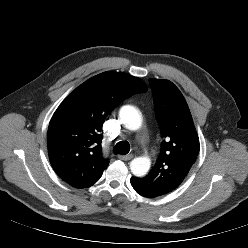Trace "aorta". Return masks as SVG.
<instances>
[{"instance_id":"obj_1","label":"aorta","mask_w":248,"mask_h":248,"mask_svg":"<svg viewBox=\"0 0 248 248\" xmlns=\"http://www.w3.org/2000/svg\"><path fill=\"white\" fill-rule=\"evenodd\" d=\"M119 117L124 126L129 130H138L142 125L141 114L134 106L125 105L121 107ZM150 166L151 161L148 157H138L130 162L131 172L138 177L146 175Z\"/></svg>"}]
</instances>
